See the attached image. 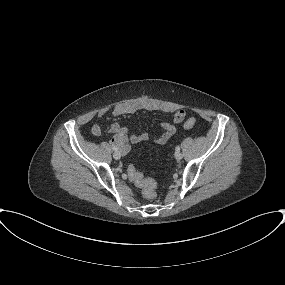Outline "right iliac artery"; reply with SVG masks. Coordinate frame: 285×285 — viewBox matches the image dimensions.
I'll return each instance as SVG.
<instances>
[{
	"instance_id": "1",
	"label": "right iliac artery",
	"mask_w": 285,
	"mask_h": 285,
	"mask_svg": "<svg viewBox=\"0 0 285 285\" xmlns=\"http://www.w3.org/2000/svg\"><path fill=\"white\" fill-rule=\"evenodd\" d=\"M113 150L117 151V150H118V147L114 146V147H113Z\"/></svg>"
}]
</instances>
